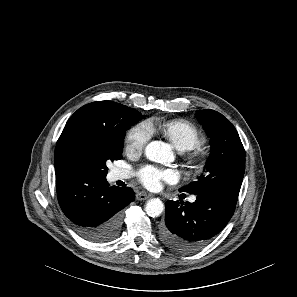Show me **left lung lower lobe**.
Returning <instances> with one entry per match:
<instances>
[{"mask_svg":"<svg viewBox=\"0 0 297 297\" xmlns=\"http://www.w3.org/2000/svg\"><path fill=\"white\" fill-rule=\"evenodd\" d=\"M194 203L168 200L160 237L169 248L191 253L205 246L232 217L239 191L209 189L195 194Z\"/></svg>","mask_w":297,"mask_h":297,"instance_id":"obj_1","label":"left lung lower lobe"}]
</instances>
